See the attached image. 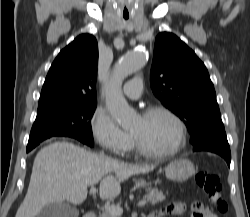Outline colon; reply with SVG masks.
Segmentation results:
<instances>
[{
    "mask_svg": "<svg viewBox=\"0 0 250 217\" xmlns=\"http://www.w3.org/2000/svg\"><path fill=\"white\" fill-rule=\"evenodd\" d=\"M197 185L206 193L209 200L216 206L217 210L226 214L228 204L224 198L223 187L219 177L215 173L201 171L196 175ZM200 205L196 204L192 208L191 217H201Z\"/></svg>",
    "mask_w": 250,
    "mask_h": 217,
    "instance_id": "1",
    "label": "colon"
}]
</instances>
